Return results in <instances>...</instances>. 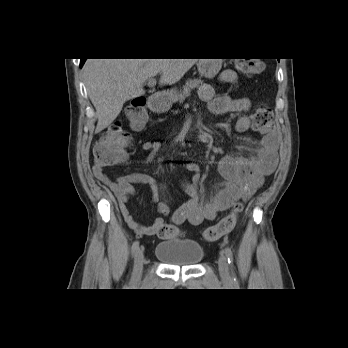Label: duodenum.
Listing matches in <instances>:
<instances>
[{
  "label": "duodenum",
  "instance_id": "410a0bca",
  "mask_svg": "<svg viewBox=\"0 0 348 348\" xmlns=\"http://www.w3.org/2000/svg\"><path fill=\"white\" fill-rule=\"evenodd\" d=\"M161 97L153 95L149 99V105L153 111H158L160 109Z\"/></svg>",
  "mask_w": 348,
  "mask_h": 348
}]
</instances>
